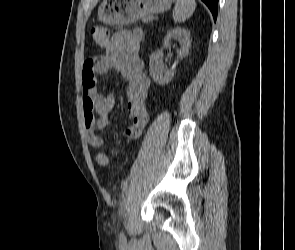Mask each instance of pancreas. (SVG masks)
Here are the masks:
<instances>
[{
	"instance_id": "cf45deb5",
	"label": "pancreas",
	"mask_w": 295,
	"mask_h": 250,
	"mask_svg": "<svg viewBox=\"0 0 295 250\" xmlns=\"http://www.w3.org/2000/svg\"><path fill=\"white\" fill-rule=\"evenodd\" d=\"M151 19H152L151 16H146V17H144V18L142 19V21H143L144 23H147V22L151 21Z\"/></svg>"
}]
</instances>
